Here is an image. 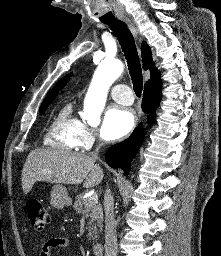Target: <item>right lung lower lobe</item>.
Returning a JSON list of instances; mask_svg holds the SVG:
<instances>
[{
	"label": "right lung lower lobe",
	"instance_id": "98d812e1",
	"mask_svg": "<svg viewBox=\"0 0 221 256\" xmlns=\"http://www.w3.org/2000/svg\"><path fill=\"white\" fill-rule=\"evenodd\" d=\"M161 87L146 88L143 93L142 110L149 113L148 123L151 124L155 118V110L161 100ZM145 135L142 123L135 128L133 133L126 140L115 144L109 148L105 154L106 162L112 168H121L127 175L131 171V160L136 155Z\"/></svg>",
	"mask_w": 221,
	"mask_h": 256
}]
</instances>
